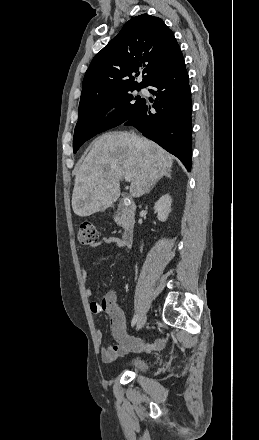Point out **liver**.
I'll return each instance as SVG.
<instances>
[{
    "mask_svg": "<svg viewBox=\"0 0 259 440\" xmlns=\"http://www.w3.org/2000/svg\"><path fill=\"white\" fill-rule=\"evenodd\" d=\"M173 156L134 133L110 132L95 139L76 173L72 208L76 215L104 211L120 196V180L132 176L130 195L139 198L171 171Z\"/></svg>",
    "mask_w": 259,
    "mask_h": 440,
    "instance_id": "1",
    "label": "liver"
}]
</instances>
